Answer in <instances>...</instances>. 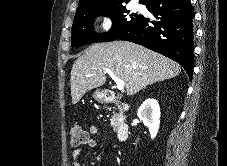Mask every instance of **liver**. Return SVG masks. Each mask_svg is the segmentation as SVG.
Masks as SVG:
<instances>
[{"label": "liver", "instance_id": "liver-1", "mask_svg": "<svg viewBox=\"0 0 227 166\" xmlns=\"http://www.w3.org/2000/svg\"><path fill=\"white\" fill-rule=\"evenodd\" d=\"M105 69L124 81L127 95L181 72L177 62L140 45L127 41L97 43L88 47L73 64L70 78L73 104L87 91L105 83Z\"/></svg>", "mask_w": 227, "mask_h": 166}]
</instances>
